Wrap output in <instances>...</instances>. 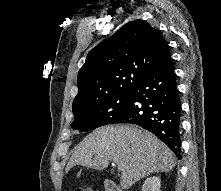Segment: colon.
<instances>
[{"label":"colon","instance_id":"obj_1","mask_svg":"<svg viewBox=\"0 0 221 191\" xmlns=\"http://www.w3.org/2000/svg\"><path fill=\"white\" fill-rule=\"evenodd\" d=\"M74 191H92V190L89 189V188H81V187H79V188H76Z\"/></svg>","mask_w":221,"mask_h":191}]
</instances>
